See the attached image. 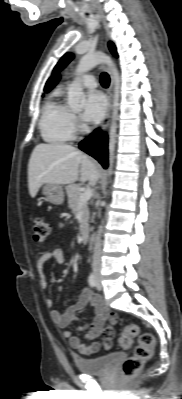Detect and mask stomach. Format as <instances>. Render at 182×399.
I'll use <instances>...</instances> for the list:
<instances>
[{"mask_svg":"<svg viewBox=\"0 0 182 399\" xmlns=\"http://www.w3.org/2000/svg\"><path fill=\"white\" fill-rule=\"evenodd\" d=\"M42 192L52 204L61 205L64 202V191L61 185L47 183L42 187Z\"/></svg>","mask_w":182,"mask_h":399,"instance_id":"obj_1","label":"stomach"}]
</instances>
